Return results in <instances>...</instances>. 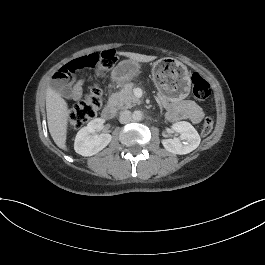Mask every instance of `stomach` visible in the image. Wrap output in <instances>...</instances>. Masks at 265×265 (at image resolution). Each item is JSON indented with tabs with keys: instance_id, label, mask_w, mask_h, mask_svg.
Instances as JSON below:
<instances>
[{
	"instance_id": "obj_1",
	"label": "stomach",
	"mask_w": 265,
	"mask_h": 265,
	"mask_svg": "<svg viewBox=\"0 0 265 265\" xmlns=\"http://www.w3.org/2000/svg\"><path fill=\"white\" fill-rule=\"evenodd\" d=\"M138 71V62L124 60L113 69L112 77L116 81L125 82L132 79ZM152 77L160 94L168 100H182L190 92V72L183 63L174 58L157 60L152 68Z\"/></svg>"
}]
</instances>
